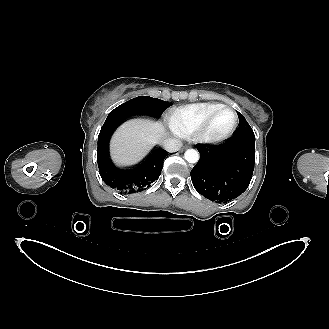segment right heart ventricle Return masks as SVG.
Returning <instances> with one entry per match:
<instances>
[{
	"label": "right heart ventricle",
	"mask_w": 329,
	"mask_h": 329,
	"mask_svg": "<svg viewBox=\"0 0 329 329\" xmlns=\"http://www.w3.org/2000/svg\"><path fill=\"white\" fill-rule=\"evenodd\" d=\"M223 105L220 102H202L175 108L170 113V124L178 135H190L211 112Z\"/></svg>",
	"instance_id": "e07e8e85"
}]
</instances>
